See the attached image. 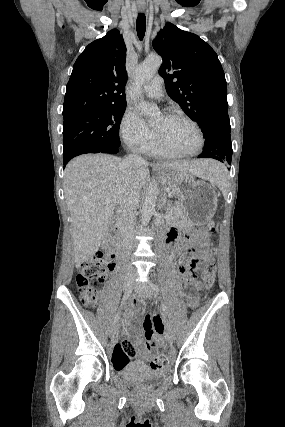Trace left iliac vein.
<instances>
[{
	"instance_id": "4c4485c4",
	"label": "left iliac vein",
	"mask_w": 285,
	"mask_h": 427,
	"mask_svg": "<svg viewBox=\"0 0 285 427\" xmlns=\"http://www.w3.org/2000/svg\"><path fill=\"white\" fill-rule=\"evenodd\" d=\"M134 289L137 294L141 295L144 298H149L152 295V289L148 286L135 284ZM166 338L170 343L174 342L173 328L170 323H168L167 325Z\"/></svg>"
}]
</instances>
